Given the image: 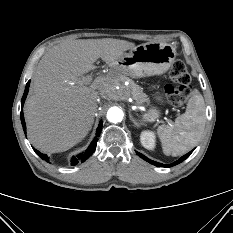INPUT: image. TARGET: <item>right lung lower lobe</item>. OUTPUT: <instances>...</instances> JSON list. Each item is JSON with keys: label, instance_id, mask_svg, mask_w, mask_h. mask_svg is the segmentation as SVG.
Instances as JSON below:
<instances>
[{"label": "right lung lower lobe", "instance_id": "obj_1", "mask_svg": "<svg viewBox=\"0 0 233 233\" xmlns=\"http://www.w3.org/2000/svg\"><path fill=\"white\" fill-rule=\"evenodd\" d=\"M29 85H30V81H28V83L26 84L24 95L22 97V101H21L22 108H23L26 96L28 94ZM20 116H21V123H22L23 129H24V132L26 133V130H25L26 126H25V121H24L23 109L21 110V115ZM102 124H103L102 121H100L99 126H98V128L96 130V137L91 142L90 146L87 148V150L85 151V153L82 156H78V158L77 157H73L72 158V165H76L78 163L79 159H81V162H84L95 151V149H96V143H97V140H98L97 137H99V134H100V132L102 130ZM34 151L37 153V155L40 158H42L43 160H46L48 162V158H47L46 154H42L41 152H39L36 149H34Z\"/></svg>", "mask_w": 233, "mask_h": 233}]
</instances>
